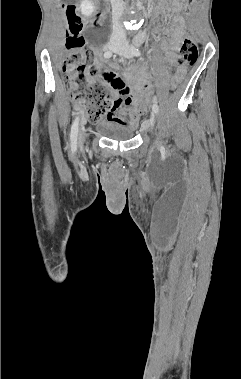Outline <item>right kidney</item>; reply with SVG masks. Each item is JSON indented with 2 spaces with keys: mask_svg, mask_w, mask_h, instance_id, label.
Segmentation results:
<instances>
[{
  "mask_svg": "<svg viewBox=\"0 0 241 379\" xmlns=\"http://www.w3.org/2000/svg\"><path fill=\"white\" fill-rule=\"evenodd\" d=\"M80 9L83 15L90 16L94 11V6L90 0H83Z\"/></svg>",
  "mask_w": 241,
  "mask_h": 379,
  "instance_id": "ca27d5eb",
  "label": "right kidney"
}]
</instances>
